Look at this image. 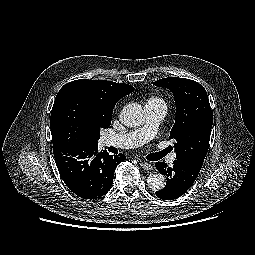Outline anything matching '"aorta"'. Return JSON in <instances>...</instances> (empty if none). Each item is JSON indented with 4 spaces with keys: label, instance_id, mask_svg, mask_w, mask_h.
I'll return each instance as SVG.
<instances>
[{
    "label": "aorta",
    "instance_id": "762f6f07",
    "mask_svg": "<svg viewBox=\"0 0 255 255\" xmlns=\"http://www.w3.org/2000/svg\"><path fill=\"white\" fill-rule=\"evenodd\" d=\"M144 119L143 107L138 103H129L120 112V121L127 127L140 126ZM147 183L152 190H161L166 185V178L162 173L154 172L148 176Z\"/></svg>",
    "mask_w": 255,
    "mask_h": 255
}]
</instances>
